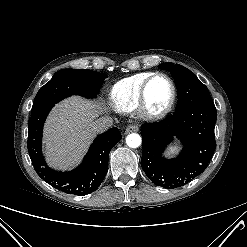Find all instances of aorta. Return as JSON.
Segmentation results:
<instances>
[{
  "label": "aorta",
  "instance_id": "762f6f07",
  "mask_svg": "<svg viewBox=\"0 0 247 247\" xmlns=\"http://www.w3.org/2000/svg\"><path fill=\"white\" fill-rule=\"evenodd\" d=\"M142 139L139 134L131 133L126 137V144L131 148H137L141 145Z\"/></svg>",
  "mask_w": 247,
  "mask_h": 247
}]
</instances>
